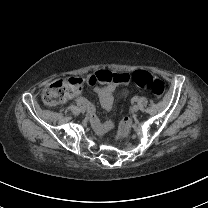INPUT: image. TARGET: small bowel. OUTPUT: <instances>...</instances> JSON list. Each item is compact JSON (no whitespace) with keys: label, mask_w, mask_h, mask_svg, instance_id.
<instances>
[{"label":"small bowel","mask_w":208,"mask_h":208,"mask_svg":"<svg viewBox=\"0 0 208 208\" xmlns=\"http://www.w3.org/2000/svg\"><path fill=\"white\" fill-rule=\"evenodd\" d=\"M128 80L127 75L123 73L116 74V77L113 81L104 83L103 86H97L95 88L96 92L98 93L100 97V102L102 107L105 110H110L112 106V94L115 89V87L119 84H124ZM124 92L121 93L120 98L124 96ZM74 100H77L81 102L87 109L88 114L90 115V120L94 124L95 128L100 132H106L111 128V123L105 122L100 123L97 117L94 115V108L93 106L83 97L81 96V93L79 90H76L74 96ZM49 107H52V105L47 104ZM105 124H108V128L105 130H102Z\"/></svg>","instance_id":"small-bowel-1"}]
</instances>
